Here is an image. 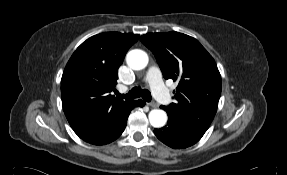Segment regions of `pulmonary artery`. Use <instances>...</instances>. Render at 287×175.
Returning <instances> with one entry per match:
<instances>
[{
	"instance_id": "obj_1",
	"label": "pulmonary artery",
	"mask_w": 287,
	"mask_h": 175,
	"mask_svg": "<svg viewBox=\"0 0 287 175\" xmlns=\"http://www.w3.org/2000/svg\"><path fill=\"white\" fill-rule=\"evenodd\" d=\"M145 80L149 83L153 95L160 103L164 105L171 103V95L164 86L161 80L160 71L157 67L149 68Z\"/></svg>"
}]
</instances>
